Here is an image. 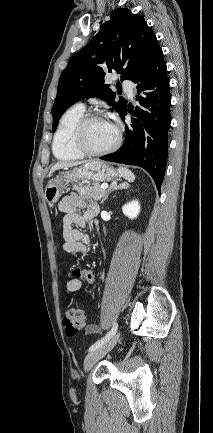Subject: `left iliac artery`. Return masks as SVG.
<instances>
[{"label":"left iliac artery","instance_id":"1","mask_svg":"<svg viewBox=\"0 0 213 433\" xmlns=\"http://www.w3.org/2000/svg\"><path fill=\"white\" fill-rule=\"evenodd\" d=\"M118 324L116 322L113 323L112 329L100 340L95 342L90 348L89 351L95 350L98 347L102 346L104 343H106L112 336H114L117 332Z\"/></svg>","mask_w":213,"mask_h":433}]
</instances>
